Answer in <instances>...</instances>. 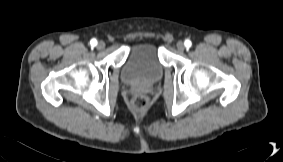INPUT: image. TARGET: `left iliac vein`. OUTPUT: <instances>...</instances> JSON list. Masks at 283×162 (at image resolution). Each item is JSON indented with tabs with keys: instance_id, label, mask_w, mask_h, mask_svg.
<instances>
[{
	"instance_id": "4c4485c4",
	"label": "left iliac vein",
	"mask_w": 283,
	"mask_h": 162,
	"mask_svg": "<svg viewBox=\"0 0 283 162\" xmlns=\"http://www.w3.org/2000/svg\"><path fill=\"white\" fill-rule=\"evenodd\" d=\"M176 47L178 51L182 52L185 49V44L183 41H178L176 44Z\"/></svg>"
}]
</instances>
